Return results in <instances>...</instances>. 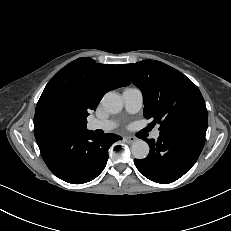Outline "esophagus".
Returning <instances> with one entry per match:
<instances>
[{
	"label": "esophagus",
	"instance_id": "34e87169",
	"mask_svg": "<svg viewBox=\"0 0 231 231\" xmlns=\"http://www.w3.org/2000/svg\"><path fill=\"white\" fill-rule=\"evenodd\" d=\"M125 141L128 142V143H134L137 141V138L134 137V136H126L125 138Z\"/></svg>",
	"mask_w": 231,
	"mask_h": 231
}]
</instances>
